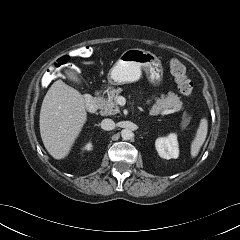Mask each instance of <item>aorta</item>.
<instances>
[{"instance_id": "obj_1", "label": "aorta", "mask_w": 240, "mask_h": 240, "mask_svg": "<svg viewBox=\"0 0 240 240\" xmlns=\"http://www.w3.org/2000/svg\"><path fill=\"white\" fill-rule=\"evenodd\" d=\"M121 136L124 140H130L133 137V132L130 129H123Z\"/></svg>"}]
</instances>
